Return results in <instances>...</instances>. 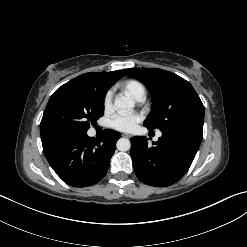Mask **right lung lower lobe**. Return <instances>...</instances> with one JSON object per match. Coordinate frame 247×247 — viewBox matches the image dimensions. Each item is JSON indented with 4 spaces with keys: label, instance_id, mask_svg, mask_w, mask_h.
<instances>
[{
    "label": "right lung lower lobe",
    "instance_id": "right-lung-lower-lobe-1",
    "mask_svg": "<svg viewBox=\"0 0 247 247\" xmlns=\"http://www.w3.org/2000/svg\"><path fill=\"white\" fill-rule=\"evenodd\" d=\"M120 133L105 130L95 139L86 134L42 141L43 151L56 174L68 185L86 187L107 173Z\"/></svg>",
    "mask_w": 247,
    "mask_h": 247
}]
</instances>
